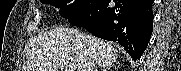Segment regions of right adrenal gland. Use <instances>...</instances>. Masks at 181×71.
I'll list each match as a JSON object with an SVG mask.
<instances>
[{
    "mask_svg": "<svg viewBox=\"0 0 181 71\" xmlns=\"http://www.w3.org/2000/svg\"><path fill=\"white\" fill-rule=\"evenodd\" d=\"M111 67H112V66H108V67H106V68L102 69V71H107V70H110V69H111Z\"/></svg>",
    "mask_w": 181,
    "mask_h": 71,
    "instance_id": "right-adrenal-gland-1",
    "label": "right adrenal gland"
}]
</instances>
